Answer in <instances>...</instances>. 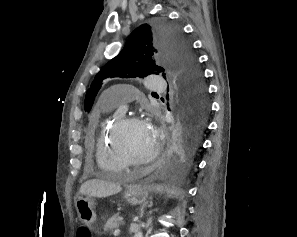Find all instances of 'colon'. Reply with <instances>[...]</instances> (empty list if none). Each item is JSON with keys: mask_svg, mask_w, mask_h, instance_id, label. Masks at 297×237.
Returning <instances> with one entry per match:
<instances>
[{"mask_svg": "<svg viewBox=\"0 0 297 237\" xmlns=\"http://www.w3.org/2000/svg\"><path fill=\"white\" fill-rule=\"evenodd\" d=\"M76 237H92L87 227H79L76 231Z\"/></svg>", "mask_w": 297, "mask_h": 237, "instance_id": "colon-1", "label": "colon"}]
</instances>
